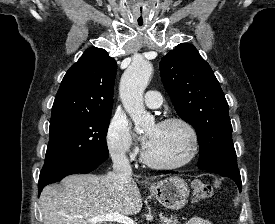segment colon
Instances as JSON below:
<instances>
[{"mask_svg": "<svg viewBox=\"0 0 275 224\" xmlns=\"http://www.w3.org/2000/svg\"><path fill=\"white\" fill-rule=\"evenodd\" d=\"M191 194L194 202H201L211 197L212 188L208 184L196 180L191 184Z\"/></svg>", "mask_w": 275, "mask_h": 224, "instance_id": "obj_1", "label": "colon"}]
</instances>
